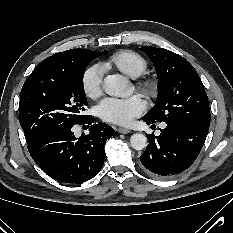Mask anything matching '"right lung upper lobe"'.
<instances>
[{"instance_id":"obj_1","label":"right lung upper lobe","mask_w":233,"mask_h":233,"mask_svg":"<svg viewBox=\"0 0 233 233\" xmlns=\"http://www.w3.org/2000/svg\"><path fill=\"white\" fill-rule=\"evenodd\" d=\"M79 50H85V49H71V50H67L64 52H60V53H56L48 58H46L44 61H42L40 63V65L45 66V67H56L59 66L61 64H63L64 60H65V55L70 52V51H79Z\"/></svg>"}]
</instances>
